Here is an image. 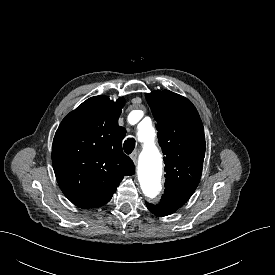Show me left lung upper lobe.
Returning <instances> with one entry per match:
<instances>
[{"instance_id":"obj_1","label":"left lung upper lobe","mask_w":275,"mask_h":275,"mask_svg":"<svg viewBox=\"0 0 275 275\" xmlns=\"http://www.w3.org/2000/svg\"><path fill=\"white\" fill-rule=\"evenodd\" d=\"M157 121L165 163L162 197L190 198L199 184L205 156V135L200 116L185 97L169 90L146 95Z\"/></svg>"}]
</instances>
